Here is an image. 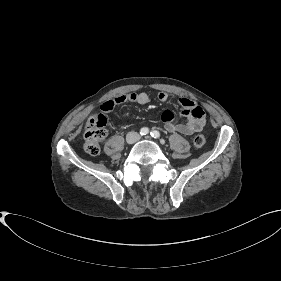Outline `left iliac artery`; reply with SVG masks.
Instances as JSON below:
<instances>
[{
  "label": "left iliac artery",
  "mask_w": 281,
  "mask_h": 281,
  "mask_svg": "<svg viewBox=\"0 0 281 281\" xmlns=\"http://www.w3.org/2000/svg\"><path fill=\"white\" fill-rule=\"evenodd\" d=\"M150 134L153 138H159L160 137V133L156 130H153Z\"/></svg>",
  "instance_id": "44dca946"
}]
</instances>
